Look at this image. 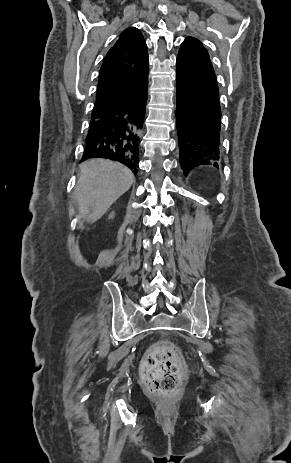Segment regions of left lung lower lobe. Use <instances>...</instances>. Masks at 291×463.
I'll return each mask as SVG.
<instances>
[{
  "instance_id": "obj_1",
  "label": "left lung lower lobe",
  "mask_w": 291,
  "mask_h": 463,
  "mask_svg": "<svg viewBox=\"0 0 291 463\" xmlns=\"http://www.w3.org/2000/svg\"><path fill=\"white\" fill-rule=\"evenodd\" d=\"M179 162L185 176L199 165L219 167L221 108L218 85L176 73Z\"/></svg>"
}]
</instances>
